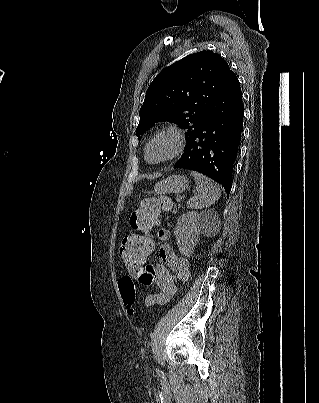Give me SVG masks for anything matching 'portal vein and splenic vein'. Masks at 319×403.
<instances>
[{
  "instance_id": "18ae733b",
  "label": "portal vein and splenic vein",
  "mask_w": 319,
  "mask_h": 403,
  "mask_svg": "<svg viewBox=\"0 0 319 403\" xmlns=\"http://www.w3.org/2000/svg\"><path fill=\"white\" fill-rule=\"evenodd\" d=\"M183 198L181 197V198H177V201L179 202V201H181Z\"/></svg>"
}]
</instances>
